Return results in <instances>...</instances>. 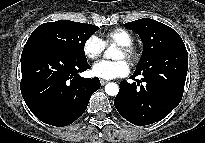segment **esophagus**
I'll use <instances>...</instances> for the list:
<instances>
[{
  "label": "esophagus",
  "mask_w": 205,
  "mask_h": 143,
  "mask_svg": "<svg viewBox=\"0 0 205 143\" xmlns=\"http://www.w3.org/2000/svg\"><path fill=\"white\" fill-rule=\"evenodd\" d=\"M107 82H108L107 80L100 79V83H101V85H105Z\"/></svg>",
  "instance_id": "esophagus-1"
}]
</instances>
